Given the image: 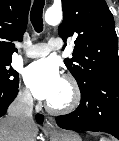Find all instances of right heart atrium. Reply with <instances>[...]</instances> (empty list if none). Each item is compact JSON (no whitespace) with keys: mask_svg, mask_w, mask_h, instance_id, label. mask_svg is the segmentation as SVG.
Returning a JSON list of instances; mask_svg holds the SVG:
<instances>
[{"mask_svg":"<svg viewBox=\"0 0 119 141\" xmlns=\"http://www.w3.org/2000/svg\"><path fill=\"white\" fill-rule=\"evenodd\" d=\"M18 100L26 106L32 105L33 97L30 90L27 87L20 88L18 93Z\"/></svg>","mask_w":119,"mask_h":141,"instance_id":"right-heart-atrium-1","label":"right heart atrium"}]
</instances>
